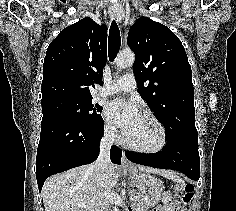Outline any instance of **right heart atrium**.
Returning a JSON list of instances; mask_svg holds the SVG:
<instances>
[{
    "mask_svg": "<svg viewBox=\"0 0 236 211\" xmlns=\"http://www.w3.org/2000/svg\"><path fill=\"white\" fill-rule=\"evenodd\" d=\"M103 133L106 140L110 142H118L120 140V135L118 134L116 128L109 121L104 122Z\"/></svg>",
    "mask_w": 236,
    "mask_h": 211,
    "instance_id": "1",
    "label": "right heart atrium"
}]
</instances>
